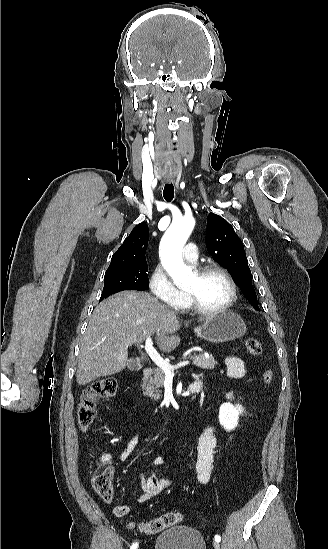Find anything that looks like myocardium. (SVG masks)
Returning a JSON list of instances; mask_svg holds the SVG:
<instances>
[{"instance_id": "1", "label": "myocardium", "mask_w": 328, "mask_h": 549, "mask_svg": "<svg viewBox=\"0 0 328 549\" xmlns=\"http://www.w3.org/2000/svg\"><path fill=\"white\" fill-rule=\"evenodd\" d=\"M187 267L190 268L196 276H203L204 274L214 270L218 271L227 279L230 286V295L228 300L220 307L214 309H206L201 307L200 302L194 297V295L188 290L183 289L188 303L187 308H189L200 317L218 316L229 311L232 308L237 299L238 286L234 277L225 265L215 261H206L199 263H189Z\"/></svg>"}]
</instances>
